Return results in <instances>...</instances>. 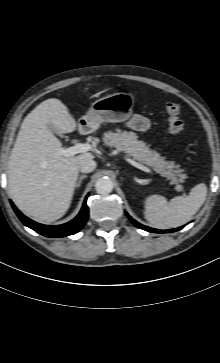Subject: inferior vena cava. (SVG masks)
Returning a JSON list of instances; mask_svg holds the SVG:
<instances>
[{
    "label": "inferior vena cava",
    "instance_id": "inferior-vena-cava-1",
    "mask_svg": "<svg viewBox=\"0 0 220 363\" xmlns=\"http://www.w3.org/2000/svg\"><path fill=\"white\" fill-rule=\"evenodd\" d=\"M97 164L93 160H83L79 163V170L82 173L92 172L96 168Z\"/></svg>",
    "mask_w": 220,
    "mask_h": 363
}]
</instances>
